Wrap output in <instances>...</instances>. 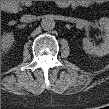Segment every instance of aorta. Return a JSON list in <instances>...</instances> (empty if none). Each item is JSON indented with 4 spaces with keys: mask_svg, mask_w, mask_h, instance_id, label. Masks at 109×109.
I'll list each match as a JSON object with an SVG mask.
<instances>
[{
    "mask_svg": "<svg viewBox=\"0 0 109 109\" xmlns=\"http://www.w3.org/2000/svg\"><path fill=\"white\" fill-rule=\"evenodd\" d=\"M41 26L46 31L52 30L55 27V20L51 16H46L43 18Z\"/></svg>",
    "mask_w": 109,
    "mask_h": 109,
    "instance_id": "aorta-1",
    "label": "aorta"
}]
</instances>
